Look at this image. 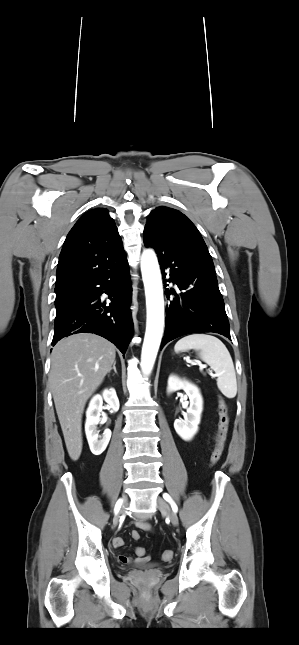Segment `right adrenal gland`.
<instances>
[{
	"instance_id": "1",
	"label": "right adrenal gland",
	"mask_w": 299,
	"mask_h": 645,
	"mask_svg": "<svg viewBox=\"0 0 299 645\" xmlns=\"http://www.w3.org/2000/svg\"><path fill=\"white\" fill-rule=\"evenodd\" d=\"M111 370H114V372L117 374L116 361L113 363V367L111 368ZM111 370L109 371V374H110Z\"/></svg>"
}]
</instances>
